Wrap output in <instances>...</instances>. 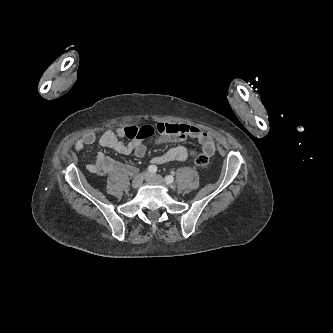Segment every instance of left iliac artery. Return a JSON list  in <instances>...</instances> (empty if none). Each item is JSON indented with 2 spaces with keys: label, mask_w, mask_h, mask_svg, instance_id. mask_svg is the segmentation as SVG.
Listing matches in <instances>:
<instances>
[{
  "label": "left iliac artery",
  "mask_w": 333,
  "mask_h": 333,
  "mask_svg": "<svg viewBox=\"0 0 333 333\" xmlns=\"http://www.w3.org/2000/svg\"><path fill=\"white\" fill-rule=\"evenodd\" d=\"M165 182L168 183V184H171L174 182V177L171 176V175H168L165 177Z\"/></svg>",
  "instance_id": "1"
}]
</instances>
